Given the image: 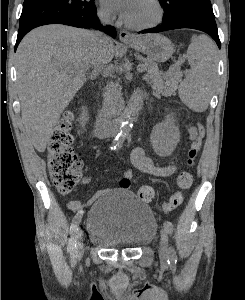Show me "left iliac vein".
<instances>
[{"label": "left iliac vein", "instance_id": "4c4485c4", "mask_svg": "<svg viewBox=\"0 0 245 300\" xmlns=\"http://www.w3.org/2000/svg\"><path fill=\"white\" fill-rule=\"evenodd\" d=\"M169 248H168V236L166 231L161 230L160 235V245H159V257L162 262H166L168 260Z\"/></svg>", "mask_w": 245, "mask_h": 300}]
</instances>
